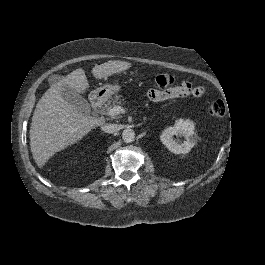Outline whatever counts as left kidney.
Segmentation results:
<instances>
[{"label":"left kidney","instance_id":"5707ae66","mask_svg":"<svg viewBox=\"0 0 265 265\" xmlns=\"http://www.w3.org/2000/svg\"><path fill=\"white\" fill-rule=\"evenodd\" d=\"M193 129L191 121L179 120L174 127L169 126L162 132L160 140L172 153L187 154L198 142V137ZM174 136L177 138L184 137V140L178 143Z\"/></svg>","mask_w":265,"mask_h":265}]
</instances>
